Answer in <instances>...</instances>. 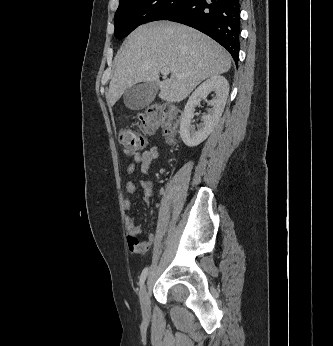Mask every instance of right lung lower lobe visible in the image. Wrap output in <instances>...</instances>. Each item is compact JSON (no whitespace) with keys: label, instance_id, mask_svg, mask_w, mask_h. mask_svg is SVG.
<instances>
[{"label":"right lung lower lobe","instance_id":"98d812e1","mask_svg":"<svg viewBox=\"0 0 333 346\" xmlns=\"http://www.w3.org/2000/svg\"><path fill=\"white\" fill-rule=\"evenodd\" d=\"M166 20L193 27L221 44L237 63L240 0H184Z\"/></svg>","mask_w":333,"mask_h":346}]
</instances>
